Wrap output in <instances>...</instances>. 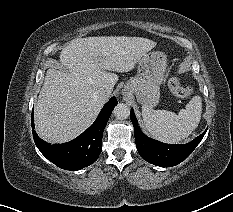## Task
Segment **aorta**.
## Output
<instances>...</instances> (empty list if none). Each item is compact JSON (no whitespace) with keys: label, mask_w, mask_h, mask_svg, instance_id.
I'll list each match as a JSON object with an SVG mask.
<instances>
[{"label":"aorta","mask_w":233,"mask_h":212,"mask_svg":"<svg viewBox=\"0 0 233 212\" xmlns=\"http://www.w3.org/2000/svg\"><path fill=\"white\" fill-rule=\"evenodd\" d=\"M114 115L117 119H126L130 115V108L128 105L119 103L117 106L114 108Z\"/></svg>","instance_id":"1"}]
</instances>
